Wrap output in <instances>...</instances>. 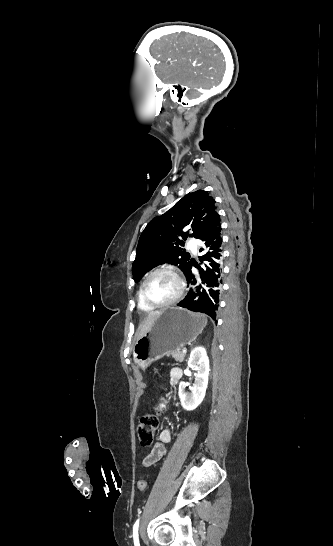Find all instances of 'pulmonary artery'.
Instances as JSON below:
<instances>
[{
    "instance_id": "1",
    "label": "pulmonary artery",
    "mask_w": 333,
    "mask_h": 546,
    "mask_svg": "<svg viewBox=\"0 0 333 546\" xmlns=\"http://www.w3.org/2000/svg\"><path fill=\"white\" fill-rule=\"evenodd\" d=\"M188 247L191 249L193 253H197V243L195 239H189L188 240Z\"/></svg>"
}]
</instances>
